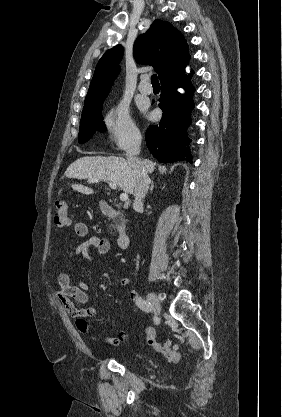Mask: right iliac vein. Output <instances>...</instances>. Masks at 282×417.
I'll return each mask as SVG.
<instances>
[{
	"mask_svg": "<svg viewBox=\"0 0 282 417\" xmlns=\"http://www.w3.org/2000/svg\"><path fill=\"white\" fill-rule=\"evenodd\" d=\"M147 300L151 304L154 312L159 313L161 310V304L158 297L154 293L150 292L147 294Z\"/></svg>",
	"mask_w": 282,
	"mask_h": 417,
	"instance_id": "right-iliac-vein-1",
	"label": "right iliac vein"
}]
</instances>
